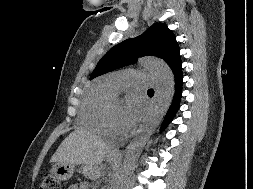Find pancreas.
I'll return each mask as SVG.
<instances>
[{
	"mask_svg": "<svg viewBox=\"0 0 253 189\" xmlns=\"http://www.w3.org/2000/svg\"><path fill=\"white\" fill-rule=\"evenodd\" d=\"M81 173L88 178L95 179L98 176L99 169L91 166H84L81 168Z\"/></svg>",
	"mask_w": 253,
	"mask_h": 189,
	"instance_id": "pancreas-1",
	"label": "pancreas"
}]
</instances>
